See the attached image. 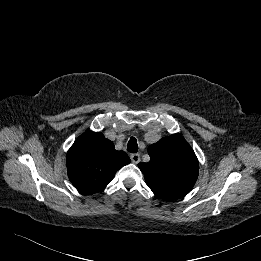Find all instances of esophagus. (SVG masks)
<instances>
[{"mask_svg":"<svg viewBox=\"0 0 261 261\" xmlns=\"http://www.w3.org/2000/svg\"><path fill=\"white\" fill-rule=\"evenodd\" d=\"M130 159L134 164H137L140 162V155L139 154H131Z\"/></svg>","mask_w":261,"mask_h":261,"instance_id":"1","label":"esophagus"}]
</instances>
